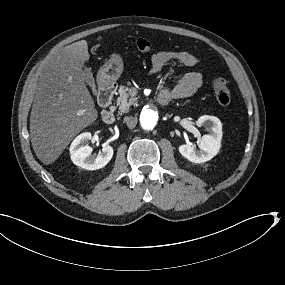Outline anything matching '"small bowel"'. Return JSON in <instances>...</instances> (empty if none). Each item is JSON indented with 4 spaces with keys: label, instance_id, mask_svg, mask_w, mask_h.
I'll use <instances>...</instances> for the list:
<instances>
[{
    "label": "small bowel",
    "instance_id": "small-bowel-1",
    "mask_svg": "<svg viewBox=\"0 0 285 285\" xmlns=\"http://www.w3.org/2000/svg\"><path fill=\"white\" fill-rule=\"evenodd\" d=\"M173 61L187 67H196L199 63L196 56L186 51H159L151 58L150 73H159L168 63ZM201 85L202 76L200 73L187 72L173 86L163 88L159 94L160 99L165 97L169 100L191 97Z\"/></svg>",
    "mask_w": 285,
    "mask_h": 285
}]
</instances>
